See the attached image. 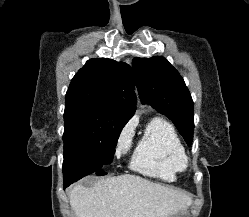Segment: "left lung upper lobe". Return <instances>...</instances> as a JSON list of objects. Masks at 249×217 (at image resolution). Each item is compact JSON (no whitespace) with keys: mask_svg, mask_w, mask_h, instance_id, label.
I'll return each instance as SVG.
<instances>
[{"mask_svg":"<svg viewBox=\"0 0 249 217\" xmlns=\"http://www.w3.org/2000/svg\"><path fill=\"white\" fill-rule=\"evenodd\" d=\"M132 68L142 101L171 119L190 145L193 140L194 106L178 71L165 58L158 56L135 57Z\"/></svg>","mask_w":249,"mask_h":217,"instance_id":"left-lung-upper-lobe-1","label":"left lung upper lobe"}]
</instances>
